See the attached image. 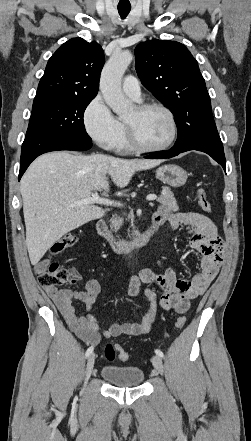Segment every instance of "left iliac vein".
Wrapping results in <instances>:
<instances>
[{"mask_svg":"<svg viewBox=\"0 0 251 441\" xmlns=\"http://www.w3.org/2000/svg\"><path fill=\"white\" fill-rule=\"evenodd\" d=\"M151 361H152V364H153L154 368L158 371V373L163 375V373H164V365H163L161 357H159L158 355H155V356L152 357Z\"/></svg>","mask_w":251,"mask_h":441,"instance_id":"4c4485c4","label":"left iliac vein"}]
</instances>
